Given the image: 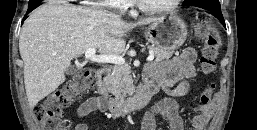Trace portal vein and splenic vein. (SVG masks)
Returning <instances> with one entry per match:
<instances>
[{
  "mask_svg": "<svg viewBox=\"0 0 257 130\" xmlns=\"http://www.w3.org/2000/svg\"><path fill=\"white\" fill-rule=\"evenodd\" d=\"M154 57V53L150 52L146 60L150 62L154 59ZM85 59L97 63H112L116 65L125 64V59L123 57L116 55H96V50L94 48L88 49L85 52Z\"/></svg>",
  "mask_w": 257,
  "mask_h": 130,
  "instance_id": "1",
  "label": "portal vein and splenic vein"
}]
</instances>
